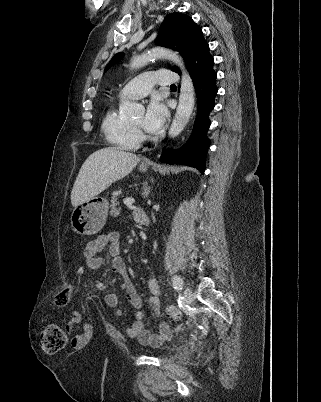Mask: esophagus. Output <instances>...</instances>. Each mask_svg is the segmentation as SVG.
Returning <instances> with one entry per match:
<instances>
[{"mask_svg": "<svg viewBox=\"0 0 321 402\" xmlns=\"http://www.w3.org/2000/svg\"><path fill=\"white\" fill-rule=\"evenodd\" d=\"M144 163H148V161H144Z\"/></svg>", "mask_w": 321, "mask_h": 402, "instance_id": "1", "label": "esophagus"}]
</instances>
